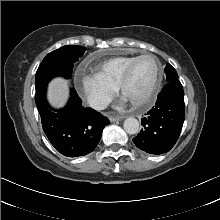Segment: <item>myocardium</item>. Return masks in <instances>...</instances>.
Masks as SVG:
<instances>
[{
  "label": "myocardium",
  "instance_id": "1",
  "mask_svg": "<svg viewBox=\"0 0 220 220\" xmlns=\"http://www.w3.org/2000/svg\"><path fill=\"white\" fill-rule=\"evenodd\" d=\"M145 57H152L155 60L156 73H155L154 80H153L149 90L146 92V94L141 99L129 101L133 106H136V107H140V106L147 104L153 98L154 94L158 90V87H159V84H160L161 78H162V66H161V62L158 59V57L156 55H154L153 53H144V54H141V55L137 56L136 58H134L126 67V69L120 79L119 85H118L119 92L124 97L126 86L129 83L132 71H133L136 63Z\"/></svg>",
  "mask_w": 220,
  "mask_h": 220
}]
</instances>
